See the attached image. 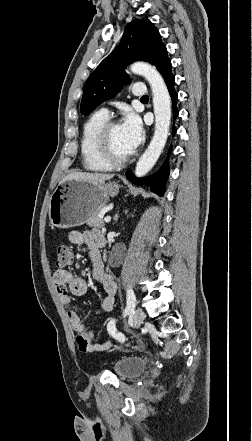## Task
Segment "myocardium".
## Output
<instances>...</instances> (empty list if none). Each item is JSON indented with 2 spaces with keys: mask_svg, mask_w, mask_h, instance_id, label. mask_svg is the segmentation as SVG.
Masks as SVG:
<instances>
[{
  "mask_svg": "<svg viewBox=\"0 0 252 441\" xmlns=\"http://www.w3.org/2000/svg\"><path fill=\"white\" fill-rule=\"evenodd\" d=\"M119 123L117 121H107L99 130L96 136V151L99 157L110 167L119 168L124 166L129 160L131 155H127L122 158L115 157L109 146V135L111 130L118 126Z\"/></svg>",
  "mask_w": 252,
  "mask_h": 441,
  "instance_id": "f54148a6",
  "label": "myocardium"
}]
</instances>
